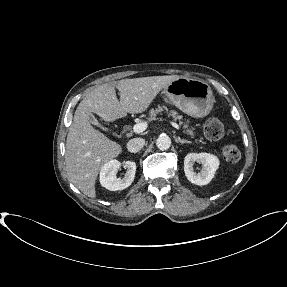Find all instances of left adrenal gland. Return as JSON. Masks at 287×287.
<instances>
[{"label":"left adrenal gland","mask_w":287,"mask_h":287,"mask_svg":"<svg viewBox=\"0 0 287 287\" xmlns=\"http://www.w3.org/2000/svg\"><path fill=\"white\" fill-rule=\"evenodd\" d=\"M175 141L177 143H181V144H184V143H189L190 144L191 143L190 141L181 139L180 137H175Z\"/></svg>","instance_id":"1"}]
</instances>
